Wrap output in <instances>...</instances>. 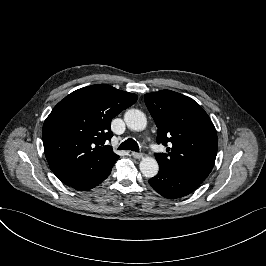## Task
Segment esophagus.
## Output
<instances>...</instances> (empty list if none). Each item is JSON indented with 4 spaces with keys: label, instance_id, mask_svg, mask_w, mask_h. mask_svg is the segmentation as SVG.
<instances>
[{
    "label": "esophagus",
    "instance_id": "34e87169",
    "mask_svg": "<svg viewBox=\"0 0 266 266\" xmlns=\"http://www.w3.org/2000/svg\"><path fill=\"white\" fill-rule=\"evenodd\" d=\"M131 154L135 159H140L143 157L142 153L132 152Z\"/></svg>",
    "mask_w": 266,
    "mask_h": 266
}]
</instances>
